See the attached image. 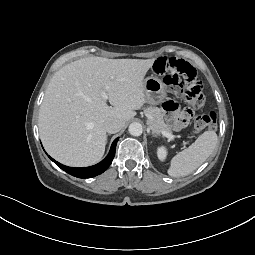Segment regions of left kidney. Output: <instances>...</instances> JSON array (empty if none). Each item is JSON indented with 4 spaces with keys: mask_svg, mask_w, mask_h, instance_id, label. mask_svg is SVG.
Here are the masks:
<instances>
[{
    "mask_svg": "<svg viewBox=\"0 0 255 255\" xmlns=\"http://www.w3.org/2000/svg\"><path fill=\"white\" fill-rule=\"evenodd\" d=\"M167 150L164 146L158 147L157 149V156L158 158L163 161L166 158Z\"/></svg>",
    "mask_w": 255,
    "mask_h": 255,
    "instance_id": "left-kidney-1",
    "label": "left kidney"
}]
</instances>
